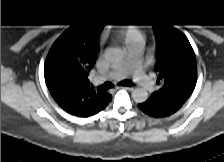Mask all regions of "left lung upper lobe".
<instances>
[{"instance_id":"5c2ea615","label":"left lung upper lobe","mask_w":224,"mask_h":162,"mask_svg":"<svg viewBox=\"0 0 224 162\" xmlns=\"http://www.w3.org/2000/svg\"><path fill=\"white\" fill-rule=\"evenodd\" d=\"M157 41L155 69L161 88L148 101L184 104L197 81V64L188 39L177 30L152 24Z\"/></svg>"}]
</instances>
